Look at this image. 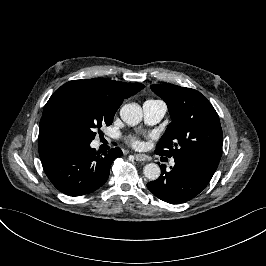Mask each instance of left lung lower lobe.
<instances>
[{"instance_id": "obj_1", "label": "left lung lower lobe", "mask_w": 266, "mask_h": 266, "mask_svg": "<svg viewBox=\"0 0 266 266\" xmlns=\"http://www.w3.org/2000/svg\"><path fill=\"white\" fill-rule=\"evenodd\" d=\"M174 159L175 166L166 171L161 165L162 174L147 187L159 199L180 204L197 196L208 185L218 164L195 156H177Z\"/></svg>"}]
</instances>
